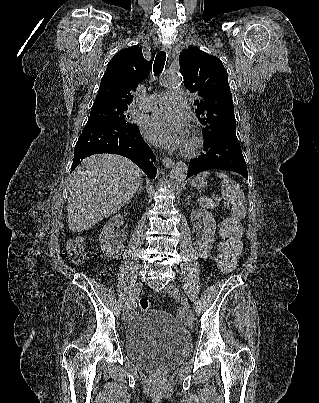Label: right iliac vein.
<instances>
[{
    "mask_svg": "<svg viewBox=\"0 0 319 403\" xmlns=\"http://www.w3.org/2000/svg\"><path fill=\"white\" fill-rule=\"evenodd\" d=\"M141 289H142V283L141 282L136 283L134 288L132 289V291H131V293H130V295H129V297H128L125 305H124V308H123L122 319L124 321L128 320L129 315H130V311H131L136 299L138 298Z\"/></svg>",
    "mask_w": 319,
    "mask_h": 403,
    "instance_id": "63e3f726",
    "label": "right iliac vein"
}]
</instances>
